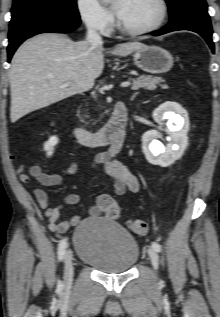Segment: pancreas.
Here are the masks:
<instances>
[{
    "mask_svg": "<svg viewBox=\"0 0 220 317\" xmlns=\"http://www.w3.org/2000/svg\"><path fill=\"white\" fill-rule=\"evenodd\" d=\"M132 81L133 90H137L139 88L155 90L157 85H161L160 83L164 82V80L161 77H153L151 75H141L137 79H132Z\"/></svg>",
    "mask_w": 220,
    "mask_h": 317,
    "instance_id": "pancreas-1",
    "label": "pancreas"
}]
</instances>
